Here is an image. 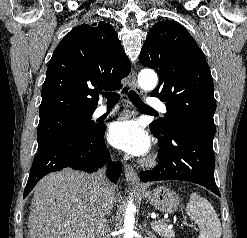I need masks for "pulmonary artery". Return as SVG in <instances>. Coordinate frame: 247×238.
I'll list each match as a JSON object with an SVG mask.
<instances>
[{"label": "pulmonary artery", "mask_w": 247, "mask_h": 238, "mask_svg": "<svg viewBox=\"0 0 247 238\" xmlns=\"http://www.w3.org/2000/svg\"><path fill=\"white\" fill-rule=\"evenodd\" d=\"M147 105L151 107L152 109L159 110L162 113L166 112V107L165 105L158 99L156 98H150L147 101ZM109 112L108 108L106 106H100L96 109L95 115L96 116H101L105 113Z\"/></svg>", "instance_id": "1"}]
</instances>
